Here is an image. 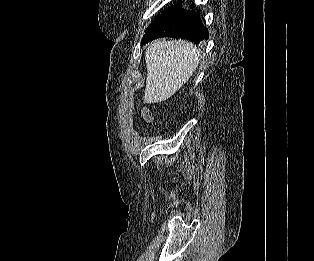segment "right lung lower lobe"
Segmentation results:
<instances>
[{"label":"right lung lower lobe","mask_w":314,"mask_h":261,"mask_svg":"<svg viewBox=\"0 0 314 261\" xmlns=\"http://www.w3.org/2000/svg\"><path fill=\"white\" fill-rule=\"evenodd\" d=\"M159 37H177L200 43L208 39V30L196 12L184 10L177 4L149 25L141 44Z\"/></svg>","instance_id":"right-lung-lower-lobe-1"}]
</instances>
